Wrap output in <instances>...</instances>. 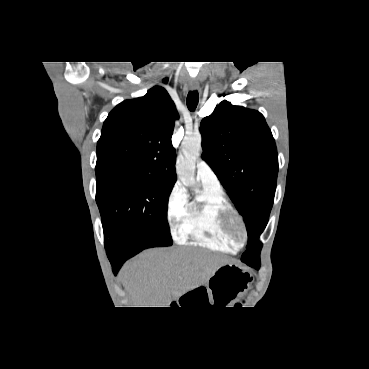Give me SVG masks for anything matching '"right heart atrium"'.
<instances>
[{"label": "right heart atrium", "mask_w": 369, "mask_h": 369, "mask_svg": "<svg viewBox=\"0 0 369 369\" xmlns=\"http://www.w3.org/2000/svg\"><path fill=\"white\" fill-rule=\"evenodd\" d=\"M188 205V195L181 184H176L167 200V220L172 229L179 225Z\"/></svg>", "instance_id": "1"}]
</instances>
